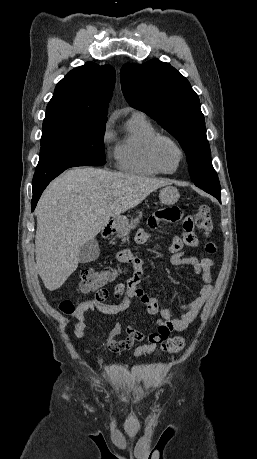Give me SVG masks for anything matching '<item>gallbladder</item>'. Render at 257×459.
<instances>
[{"label":"gallbladder","instance_id":"obj_1","mask_svg":"<svg viewBox=\"0 0 257 459\" xmlns=\"http://www.w3.org/2000/svg\"><path fill=\"white\" fill-rule=\"evenodd\" d=\"M99 254L100 248L98 241L95 238H93L81 246L78 256L79 262L87 263L94 261L99 257Z\"/></svg>","mask_w":257,"mask_h":459}]
</instances>
